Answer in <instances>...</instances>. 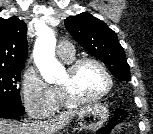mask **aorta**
<instances>
[{"instance_id":"obj_1","label":"aorta","mask_w":153,"mask_h":134,"mask_svg":"<svg viewBox=\"0 0 153 134\" xmlns=\"http://www.w3.org/2000/svg\"><path fill=\"white\" fill-rule=\"evenodd\" d=\"M55 46V35L50 28H45L39 33L34 46L36 66L48 83H53L62 70V65L55 58Z\"/></svg>"}]
</instances>
